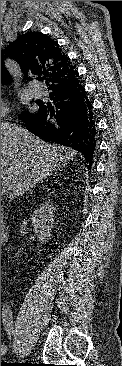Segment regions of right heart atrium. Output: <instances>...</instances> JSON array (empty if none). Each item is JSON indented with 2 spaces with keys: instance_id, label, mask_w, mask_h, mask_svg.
Returning <instances> with one entry per match:
<instances>
[{
  "instance_id": "d8ad5b80",
  "label": "right heart atrium",
  "mask_w": 122,
  "mask_h": 366,
  "mask_svg": "<svg viewBox=\"0 0 122 366\" xmlns=\"http://www.w3.org/2000/svg\"><path fill=\"white\" fill-rule=\"evenodd\" d=\"M10 111V107L8 103L1 98V119L4 118L7 113Z\"/></svg>"
}]
</instances>
